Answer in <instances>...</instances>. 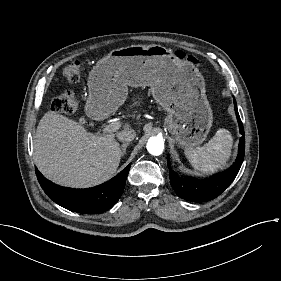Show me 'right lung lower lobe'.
<instances>
[{
	"label": "right lung lower lobe",
	"mask_w": 281,
	"mask_h": 281,
	"mask_svg": "<svg viewBox=\"0 0 281 281\" xmlns=\"http://www.w3.org/2000/svg\"><path fill=\"white\" fill-rule=\"evenodd\" d=\"M131 164L110 181L88 190H69L54 186L36 170L45 193L60 206L83 214L101 213L110 209L121 197Z\"/></svg>",
	"instance_id": "98d812e1"
}]
</instances>
